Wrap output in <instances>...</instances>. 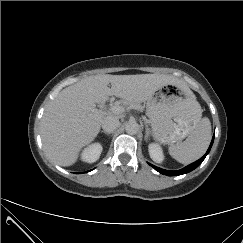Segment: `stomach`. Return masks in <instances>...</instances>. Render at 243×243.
<instances>
[{
    "instance_id": "obj_1",
    "label": "stomach",
    "mask_w": 243,
    "mask_h": 243,
    "mask_svg": "<svg viewBox=\"0 0 243 243\" xmlns=\"http://www.w3.org/2000/svg\"><path fill=\"white\" fill-rule=\"evenodd\" d=\"M197 103L188 88L166 85L157 90L146 105L153 137L163 144L184 139L197 125Z\"/></svg>"
}]
</instances>
